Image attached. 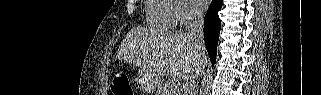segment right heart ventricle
<instances>
[{"label":"right heart ventricle","mask_w":321,"mask_h":95,"mask_svg":"<svg viewBox=\"0 0 321 95\" xmlns=\"http://www.w3.org/2000/svg\"><path fill=\"white\" fill-rule=\"evenodd\" d=\"M147 24L158 31H171L175 27L169 4L165 0H148L146 2Z\"/></svg>","instance_id":"obj_1"}]
</instances>
